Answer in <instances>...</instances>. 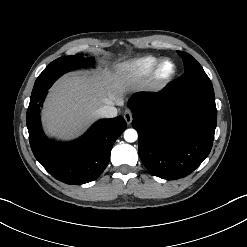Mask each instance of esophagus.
Listing matches in <instances>:
<instances>
[{
    "mask_svg": "<svg viewBox=\"0 0 247 247\" xmlns=\"http://www.w3.org/2000/svg\"><path fill=\"white\" fill-rule=\"evenodd\" d=\"M123 117L127 124H130L132 122L133 116L130 110H126Z\"/></svg>",
    "mask_w": 247,
    "mask_h": 247,
    "instance_id": "esophagus-1",
    "label": "esophagus"
}]
</instances>
